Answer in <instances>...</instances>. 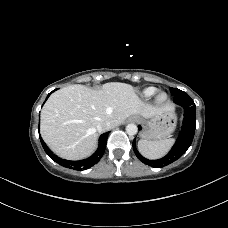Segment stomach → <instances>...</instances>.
Segmentation results:
<instances>
[{
    "instance_id": "stomach-1",
    "label": "stomach",
    "mask_w": 228,
    "mask_h": 228,
    "mask_svg": "<svg viewBox=\"0 0 228 228\" xmlns=\"http://www.w3.org/2000/svg\"><path fill=\"white\" fill-rule=\"evenodd\" d=\"M144 129L141 137L145 140H160L169 137L176 128L177 118L174 110L170 108L168 111L152 118H141Z\"/></svg>"
}]
</instances>
